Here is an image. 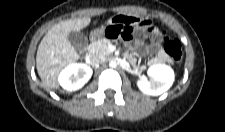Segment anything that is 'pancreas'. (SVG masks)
Segmentation results:
<instances>
[{"mask_svg": "<svg viewBox=\"0 0 225 132\" xmlns=\"http://www.w3.org/2000/svg\"><path fill=\"white\" fill-rule=\"evenodd\" d=\"M111 45L110 40L107 39H99L98 41L92 42L88 49L90 53L94 55H101L103 57L110 56L112 52L109 50V46Z\"/></svg>", "mask_w": 225, "mask_h": 132, "instance_id": "pancreas-1", "label": "pancreas"}]
</instances>
